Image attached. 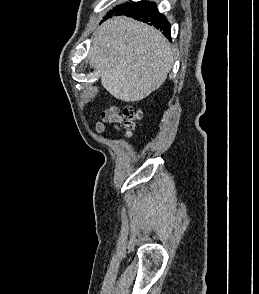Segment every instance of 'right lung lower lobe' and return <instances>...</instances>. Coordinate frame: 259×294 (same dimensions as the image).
<instances>
[{"instance_id": "right-lung-lower-lobe-1", "label": "right lung lower lobe", "mask_w": 259, "mask_h": 294, "mask_svg": "<svg viewBox=\"0 0 259 294\" xmlns=\"http://www.w3.org/2000/svg\"><path fill=\"white\" fill-rule=\"evenodd\" d=\"M120 15L132 17L136 20L146 22L149 25H153L155 28L163 31V34L171 39L170 36V24L164 15L159 13L157 5L153 2H139L131 9L123 12Z\"/></svg>"}]
</instances>
